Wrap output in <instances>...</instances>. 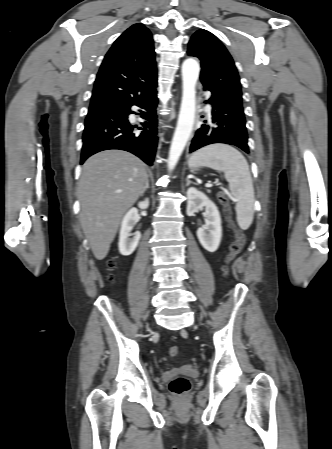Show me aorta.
<instances>
[{"mask_svg": "<svg viewBox=\"0 0 332 449\" xmlns=\"http://www.w3.org/2000/svg\"><path fill=\"white\" fill-rule=\"evenodd\" d=\"M199 63L192 58L186 59L182 64V101L177 126L171 142L168 168L173 170L176 166L191 135L196 112V83L199 77Z\"/></svg>", "mask_w": 332, "mask_h": 449, "instance_id": "762f6f07", "label": "aorta"}]
</instances>
